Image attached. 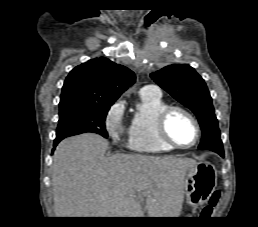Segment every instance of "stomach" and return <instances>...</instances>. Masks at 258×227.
<instances>
[{
    "label": "stomach",
    "mask_w": 258,
    "mask_h": 227,
    "mask_svg": "<svg viewBox=\"0 0 258 227\" xmlns=\"http://www.w3.org/2000/svg\"><path fill=\"white\" fill-rule=\"evenodd\" d=\"M217 185L216 168L209 162H199L186 173L187 204L196 207L208 201Z\"/></svg>",
    "instance_id": "stomach-1"
}]
</instances>
